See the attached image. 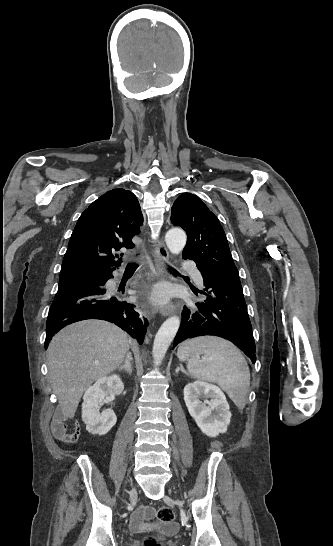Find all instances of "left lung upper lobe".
<instances>
[{"label":"left lung upper lobe","mask_w":333,"mask_h":546,"mask_svg":"<svg viewBox=\"0 0 333 546\" xmlns=\"http://www.w3.org/2000/svg\"><path fill=\"white\" fill-rule=\"evenodd\" d=\"M171 222L187 232L183 256L192 258L216 277L239 278L218 218L197 196L180 195L173 204Z\"/></svg>","instance_id":"obj_1"}]
</instances>
